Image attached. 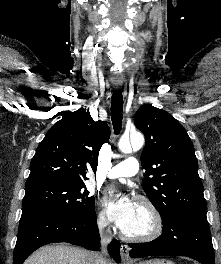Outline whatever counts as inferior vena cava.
Segmentation results:
<instances>
[{
	"label": "inferior vena cava",
	"mask_w": 221,
	"mask_h": 264,
	"mask_svg": "<svg viewBox=\"0 0 221 264\" xmlns=\"http://www.w3.org/2000/svg\"><path fill=\"white\" fill-rule=\"evenodd\" d=\"M108 225L107 220L102 219L98 222L100 236H101V244L103 246L107 245L112 240V233L110 229H105ZM105 249L102 253H98L96 255V264H106L105 258H104Z\"/></svg>",
	"instance_id": "1"
}]
</instances>
